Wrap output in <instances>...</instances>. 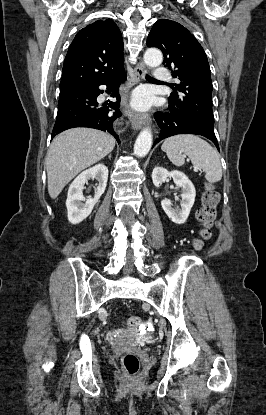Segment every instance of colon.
I'll use <instances>...</instances> for the list:
<instances>
[{
    "instance_id": "1",
    "label": "colon",
    "mask_w": 266,
    "mask_h": 415,
    "mask_svg": "<svg viewBox=\"0 0 266 415\" xmlns=\"http://www.w3.org/2000/svg\"><path fill=\"white\" fill-rule=\"evenodd\" d=\"M219 203V193L213 185L208 184L202 196V206L197 212V219L201 225L199 237L194 239L193 245L199 249L204 240H207L211 235V228L216 218V208ZM127 325L133 329H139L142 325V320L137 316H131L127 319ZM123 370L129 376H134L140 369V360L134 353L128 352L122 356L121 359Z\"/></svg>"
}]
</instances>
